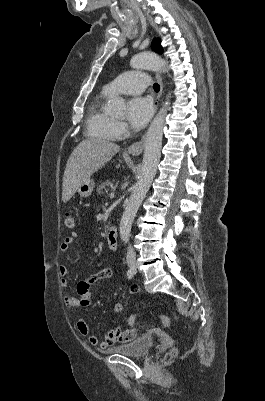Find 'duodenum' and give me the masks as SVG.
Wrapping results in <instances>:
<instances>
[{"label":"duodenum","instance_id":"1","mask_svg":"<svg viewBox=\"0 0 265 401\" xmlns=\"http://www.w3.org/2000/svg\"><path fill=\"white\" fill-rule=\"evenodd\" d=\"M107 245L111 250H116L118 246V234L114 227H111L106 237Z\"/></svg>","mask_w":265,"mask_h":401}]
</instances>
